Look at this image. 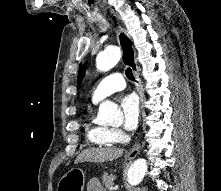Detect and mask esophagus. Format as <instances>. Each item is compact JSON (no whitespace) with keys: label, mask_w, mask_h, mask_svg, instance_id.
<instances>
[{"label":"esophagus","mask_w":221,"mask_h":191,"mask_svg":"<svg viewBox=\"0 0 221 191\" xmlns=\"http://www.w3.org/2000/svg\"><path fill=\"white\" fill-rule=\"evenodd\" d=\"M117 37H118L120 46L122 48L123 61L125 64L130 65L132 67L134 77L137 81V90H138L141 100L143 101L144 93L142 91L141 79L139 76V67L136 62L135 50L133 48L132 40L127 34L126 30L121 26L117 27ZM139 150H140V144L136 143L132 147V149L127 153V156L130 158H134L139 153Z\"/></svg>","instance_id":"1"}]
</instances>
